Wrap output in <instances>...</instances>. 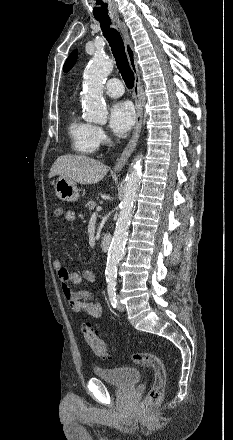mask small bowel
Returning a JSON list of instances; mask_svg holds the SVG:
<instances>
[{
	"mask_svg": "<svg viewBox=\"0 0 233 440\" xmlns=\"http://www.w3.org/2000/svg\"><path fill=\"white\" fill-rule=\"evenodd\" d=\"M76 218L77 214L74 210H68L65 214V219L68 222H74ZM53 266L58 276L62 294L70 309L75 313H83L90 318H100L102 307L95 301L93 294L89 291H75L71 288V285H79L82 281L94 283L96 281L95 273L89 269L81 272L71 271L62 264L60 259L54 260Z\"/></svg>",
	"mask_w": 233,
	"mask_h": 440,
	"instance_id": "c3829d8e",
	"label": "small bowel"
}]
</instances>
